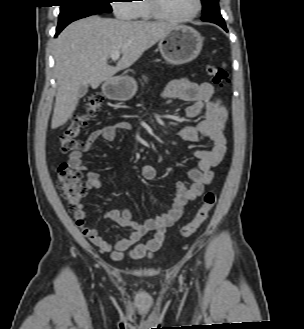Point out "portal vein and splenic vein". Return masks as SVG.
Listing matches in <instances>:
<instances>
[{
  "mask_svg": "<svg viewBox=\"0 0 304 329\" xmlns=\"http://www.w3.org/2000/svg\"><path fill=\"white\" fill-rule=\"evenodd\" d=\"M120 52H114L110 55V58L113 60V61H117L119 58H120Z\"/></svg>",
  "mask_w": 304,
  "mask_h": 329,
  "instance_id": "portal-vein-and-splenic-vein-1",
  "label": "portal vein and splenic vein"
}]
</instances>
